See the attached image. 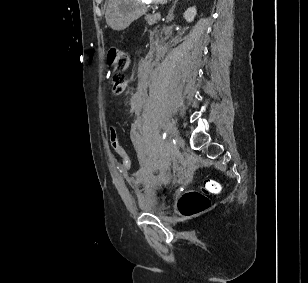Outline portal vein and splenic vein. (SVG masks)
I'll return each instance as SVG.
<instances>
[{
  "instance_id": "1",
  "label": "portal vein and splenic vein",
  "mask_w": 308,
  "mask_h": 283,
  "mask_svg": "<svg viewBox=\"0 0 308 283\" xmlns=\"http://www.w3.org/2000/svg\"><path fill=\"white\" fill-rule=\"evenodd\" d=\"M156 15H157V17H158V18H160V17H161L160 12H157V13H156Z\"/></svg>"
}]
</instances>
